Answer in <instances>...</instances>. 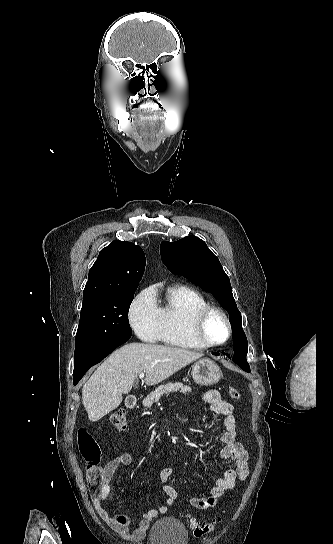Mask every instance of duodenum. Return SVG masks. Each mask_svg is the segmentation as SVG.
Here are the masks:
<instances>
[{
  "instance_id": "1",
  "label": "duodenum",
  "mask_w": 333,
  "mask_h": 544,
  "mask_svg": "<svg viewBox=\"0 0 333 544\" xmlns=\"http://www.w3.org/2000/svg\"><path fill=\"white\" fill-rule=\"evenodd\" d=\"M137 405V398L134 396H129L126 399V406L128 408H134Z\"/></svg>"
}]
</instances>
